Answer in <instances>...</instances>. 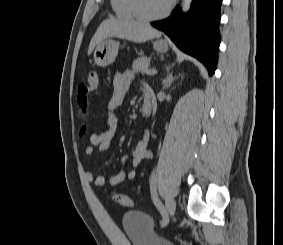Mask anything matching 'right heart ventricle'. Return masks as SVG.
<instances>
[{
	"instance_id": "1",
	"label": "right heart ventricle",
	"mask_w": 283,
	"mask_h": 245,
	"mask_svg": "<svg viewBox=\"0 0 283 245\" xmlns=\"http://www.w3.org/2000/svg\"><path fill=\"white\" fill-rule=\"evenodd\" d=\"M114 13L121 18H138L132 7V0H110Z\"/></svg>"
}]
</instances>
